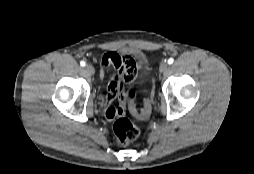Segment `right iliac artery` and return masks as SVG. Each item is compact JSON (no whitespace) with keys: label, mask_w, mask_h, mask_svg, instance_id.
<instances>
[{"label":"right iliac artery","mask_w":254,"mask_h":174,"mask_svg":"<svg viewBox=\"0 0 254 174\" xmlns=\"http://www.w3.org/2000/svg\"><path fill=\"white\" fill-rule=\"evenodd\" d=\"M80 65L84 67V66H85V62H84V61H81V62H80Z\"/></svg>","instance_id":"right-iliac-artery-1"}]
</instances>
